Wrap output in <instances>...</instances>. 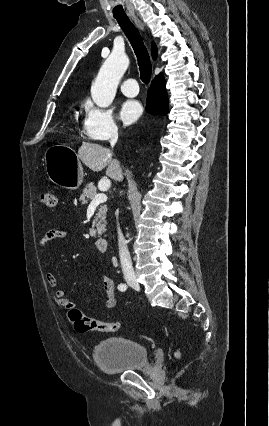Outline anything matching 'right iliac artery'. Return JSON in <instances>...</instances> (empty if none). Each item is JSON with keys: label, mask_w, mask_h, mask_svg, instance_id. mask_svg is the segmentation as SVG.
I'll return each mask as SVG.
<instances>
[{"label": "right iliac artery", "mask_w": 269, "mask_h": 426, "mask_svg": "<svg viewBox=\"0 0 269 426\" xmlns=\"http://www.w3.org/2000/svg\"><path fill=\"white\" fill-rule=\"evenodd\" d=\"M118 289L120 291H125L127 289V286H126V284H121V285L118 286Z\"/></svg>", "instance_id": "right-iliac-artery-1"}]
</instances>
